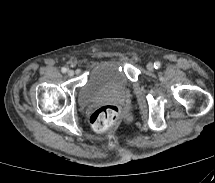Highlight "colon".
<instances>
[{"label": "colon", "instance_id": "colon-1", "mask_svg": "<svg viewBox=\"0 0 215 183\" xmlns=\"http://www.w3.org/2000/svg\"><path fill=\"white\" fill-rule=\"evenodd\" d=\"M120 110L114 104L104 105L91 115V125L97 132H103L119 118Z\"/></svg>", "mask_w": 215, "mask_h": 183}]
</instances>
